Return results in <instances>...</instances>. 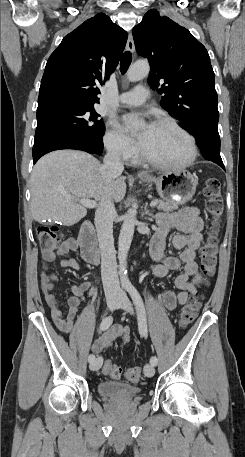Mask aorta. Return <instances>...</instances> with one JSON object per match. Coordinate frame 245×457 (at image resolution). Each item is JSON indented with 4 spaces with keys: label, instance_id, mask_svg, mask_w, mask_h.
<instances>
[{
    "label": "aorta",
    "instance_id": "aorta-1",
    "mask_svg": "<svg viewBox=\"0 0 245 457\" xmlns=\"http://www.w3.org/2000/svg\"><path fill=\"white\" fill-rule=\"evenodd\" d=\"M150 66L147 61L135 62L127 72V78L131 82L139 81L149 74ZM136 212L129 210L124 216L123 224L118 238V260L121 284L129 285L127 276V256L134 235Z\"/></svg>",
    "mask_w": 245,
    "mask_h": 457
}]
</instances>
